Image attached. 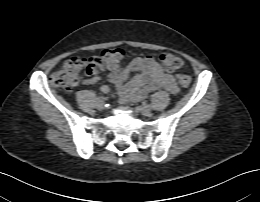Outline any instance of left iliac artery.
Returning <instances> with one entry per match:
<instances>
[{
  "label": "left iliac artery",
  "instance_id": "44dca946",
  "mask_svg": "<svg viewBox=\"0 0 260 202\" xmlns=\"http://www.w3.org/2000/svg\"><path fill=\"white\" fill-rule=\"evenodd\" d=\"M143 105H148V101H144V102H143Z\"/></svg>",
  "mask_w": 260,
  "mask_h": 202
}]
</instances>
